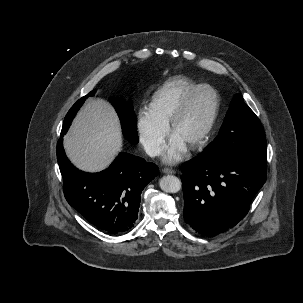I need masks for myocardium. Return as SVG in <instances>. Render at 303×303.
<instances>
[{"label": "myocardium", "mask_w": 303, "mask_h": 303, "mask_svg": "<svg viewBox=\"0 0 303 303\" xmlns=\"http://www.w3.org/2000/svg\"><path fill=\"white\" fill-rule=\"evenodd\" d=\"M205 89L210 90L214 94V96H215V107H214V111H213L206 127L198 135V137L189 145V147L191 149H197V148L201 147L206 142V140L210 136V134H211L216 122H217V119L219 117L220 110H221V96H220L219 92L211 85L200 84L199 86H197L196 88L191 90L185 96V98L182 100V102L179 104V106L176 108V110L172 114V116L169 120V123H168L169 131H170V133L173 134L177 123L179 122V120L182 118V116L188 110L192 100L195 98V96L199 92H201L202 90H205Z\"/></svg>", "instance_id": "f54148a6"}]
</instances>
